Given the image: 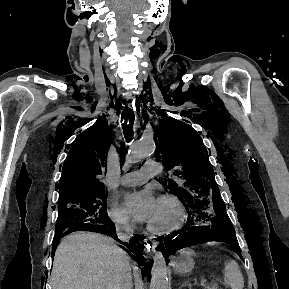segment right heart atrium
Wrapping results in <instances>:
<instances>
[{
    "label": "right heart atrium",
    "mask_w": 289,
    "mask_h": 289,
    "mask_svg": "<svg viewBox=\"0 0 289 289\" xmlns=\"http://www.w3.org/2000/svg\"><path fill=\"white\" fill-rule=\"evenodd\" d=\"M109 216L113 223L124 230L132 227V220L128 213L115 201H112L109 209Z\"/></svg>",
    "instance_id": "right-heart-atrium-1"
}]
</instances>
